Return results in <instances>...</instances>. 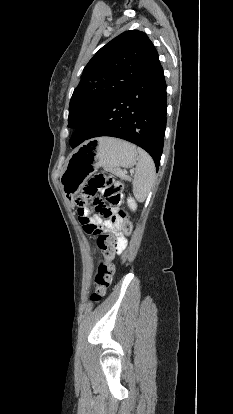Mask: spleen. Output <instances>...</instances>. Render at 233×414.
Returning <instances> with one entry per match:
<instances>
[{
    "label": "spleen",
    "instance_id": "obj_1",
    "mask_svg": "<svg viewBox=\"0 0 233 414\" xmlns=\"http://www.w3.org/2000/svg\"><path fill=\"white\" fill-rule=\"evenodd\" d=\"M138 163L133 179V193L137 200L144 201L152 189L156 178L155 164L151 156L138 148Z\"/></svg>",
    "mask_w": 233,
    "mask_h": 414
}]
</instances>
